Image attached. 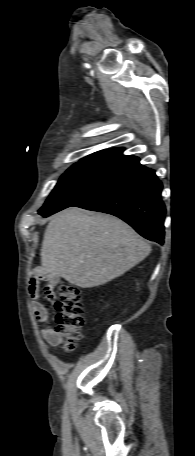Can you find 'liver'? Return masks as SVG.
Masks as SVG:
<instances>
[{
    "label": "liver",
    "instance_id": "1",
    "mask_svg": "<svg viewBox=\"0 0 195 456\" xmlns=\"http://www.w3.org/2000/svg\"><path fill=\"white\" fill-rule=\"evenodd\" d=\"M150 251V245L122 220L71 207L47 225L40 273L90 288L123 275Z\"/></svg>",
    "mask_w": 195,
    "mask_h": 456
}]
</instances>
